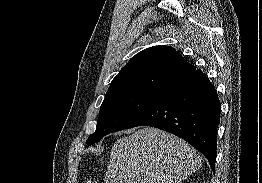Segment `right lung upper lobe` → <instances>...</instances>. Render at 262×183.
Masks as SVG:
<instances>
[{
    "label": "right lung upper lobe",
    "instance_id": "cb5924a9",
    "mask_svg": "<svg viewBox=\"0 0 262 183\" xmlns=\"http://www.w3.org/2000/svg\"><path fill=\"white\" fill-rule=\"evenodd\" d=\"M195 68L169 46L149 47L121 69L112 80L107 94L130 90L158 91L168 83L192 72Z\"/></svg>",
    "mask_w": 262,
    "mask_h": 183
}]
</instances>
